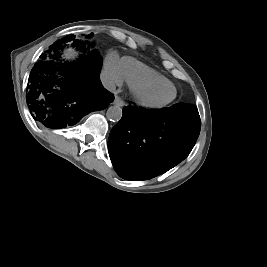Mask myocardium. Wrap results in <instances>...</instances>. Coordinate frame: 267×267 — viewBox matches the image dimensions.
Returning a JSON list of instances; mask_svg holds the SVG:
<instances>
[{"label": "myocardium", "instance_id": "1", "mask_svg": "<svg viewBox=\"0 0 267 267\" xmlns=\"http://www.w3.org/2000/svg\"><path fill=\"white\" fill-rule=\"evenodd\" d=\"M163 85L171 86L174 90V94L169 100L164 101V102H153L144 96V92L147 89L157 87V86H163ZM132 93H133L135 100L140 105H142L144 107H148V108L166 107L177 98V89H176L175 85L170 81H167V82L151 81V82L139 83L137 85L132 86Z\"/></svg>", "mask_w": 267, "mask_h": 267}]
</instances>
